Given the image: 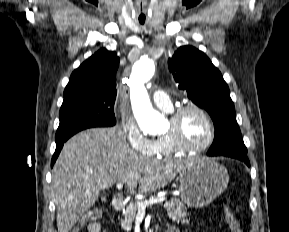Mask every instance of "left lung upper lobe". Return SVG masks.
I'll return each instance as SVG.
<instances>
[{"instance_id":"obj_1","label":"left lung upper lobe","mask_w":289,"mask_h":232,"mask_svg":"<svg viewBox=\"0 0 289 232\" xmlns=\"http://www.w3.org/2000/svg\"><path fill=\"white\" fill-rule=\"evenodd\" d=\"M168 67L178 87L213 120L215 136L207 155L247 153L228 85L210 59L192 46H182L168 59Z\"/></svg>"}]
</instances>
